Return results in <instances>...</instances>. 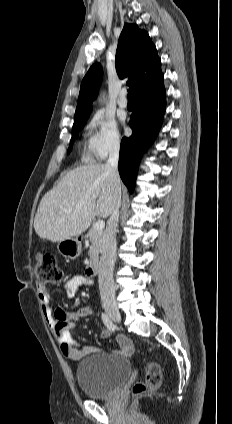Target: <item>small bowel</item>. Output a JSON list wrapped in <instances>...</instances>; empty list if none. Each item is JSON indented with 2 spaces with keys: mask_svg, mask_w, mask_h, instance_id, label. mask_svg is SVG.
Masks as SVG:
<instances>
[{
  "mask_svg": "<svg viewBox=\"0 0 232 424\" xmlns=\"http://www.w3.org/2000/svg\"><path fill=\"white\" fill-rule=\"evenodd\" d=\"M91 278L83 275H75L67 280L64 284V292L67 298L75 297L79 287L83 285H92ZM37 294L41 303L44 317L50 326L53 336L56 339L61 353L71 360H79L90 354L103 351L98 346H81L70 334V331L75 327L76 323L90 315L92 310L88 306L78 307L75 310H65L62 308H52L53 298L45 284L38 283L36 285ZM102 338H108L111 335V330L104 328L101 331ZM118 347L113 350V353L122 355H131L133 346L131 341L124 335L117 337Z\"/></svg>",
  "mask_w": 232,
  "mask_h": 424,
  "instance_id": "obj_1",
  "label": "small bowel"
}]
</instances>
